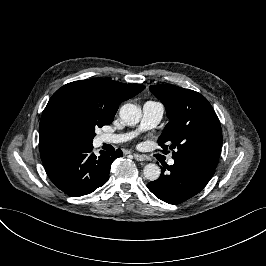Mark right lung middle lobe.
<instances>
[{
  "label": "right lung middle lobe",
  "mask_w": 266,
  "mask_h": 266,
  "mask_svg": "<svg viewBox=\"0 0 266 266\" xmlns=\"http://www.w3.org/2000/svg\"><path fill=\"white\" fill-rule=\"evenodd\" d=\"M58 116L72 145L92 144L95 128L109 125L114 119L102 109L98 96L89 91L66 95L58 105Z\"/></svg>",
  "instance_id": "obj_1"
}]
</instances>
